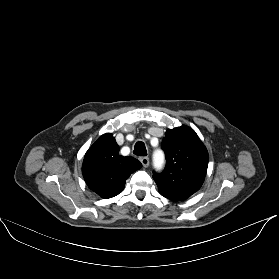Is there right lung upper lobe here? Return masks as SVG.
<instances>
[{
	"instance_id": "right-lung-upper-lobe-1",
	"label": "right lung upper lobe",
	"mask_w": 279,
	"mask_h": 279,
	"mask_svg": "<svg viewBox=\"0 0 279 279\" xmlns=\"http://www.w3.org/2000/svg\"><path fill=\"white\" fill-rule=\"evenodd\" d=\"M141 167L137 159L120 156L115 138L106 133L86 152L82 174L92 191L108 199L121 193L128 177Z\"/></svg>"
}]
</instances>
